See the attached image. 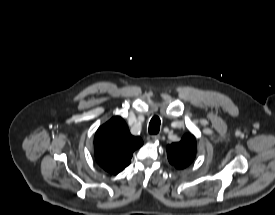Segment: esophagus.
I'll return each instance as SVG.
<instances>
[{
  "mask_svg": "<svg viewBox=\"0 0 275 215\" xmlns=\"http://www.w3.org/2000/svg\"><path fill=\"white\" fill-rule=\"evenodd\" d=\"M159 139H160V136L159 135H149L148 137H147V141L148 142H158L159 141Z\"/></svg>",
  "mask_w": 275,
  "mask_h": 215,
  "instance_id": "1",
  "label": "esophagus"
}]
</instances>
